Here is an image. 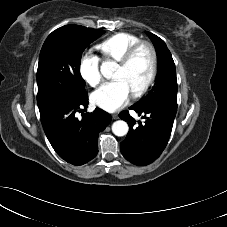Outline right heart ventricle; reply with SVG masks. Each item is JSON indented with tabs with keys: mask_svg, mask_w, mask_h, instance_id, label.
Segmentation results:
<instances>
[{
	"mask_svg": "<svg viewBox=\"0 0 227 227\" xmlns=\"http://www.w3.org/2000/svg\"><path fill=\"white\" fill-rule=\"evenodd\" d=\"M139 41L140 38L135 34L118 32L100 42L96 49L105 59L118 62L126 51Z\"/></svg>",
	"mask_w": 227,
	"mask_h": 227,
	"instance_id": "e07e8e85",
	"label": "right heart ventricle"
}]
</instances>
